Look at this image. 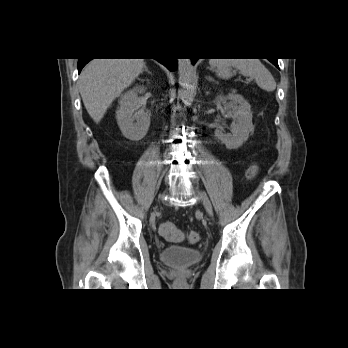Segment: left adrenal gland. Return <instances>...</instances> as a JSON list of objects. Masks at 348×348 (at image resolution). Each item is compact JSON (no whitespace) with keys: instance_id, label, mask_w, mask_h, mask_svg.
<instances>
[{"instance_id":"a2214340","label":"left adrenal gland","mask_w":348,"mask_h":348,"mask_svg":"<svg viewBox=\"0 0 348 348\" xmlns=\"http://www.w3.org/2000/svg\"><path fill=\"white\" fill-rule=\"evenodd\" d=\"M206 79L209 80V81H213V82L215 81V80H214L212 77H210V76H207Z\"/></svg>"}]
</instances>
